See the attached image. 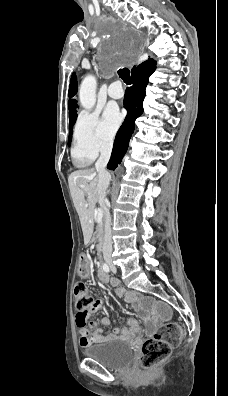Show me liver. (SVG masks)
<instances>
[{
    "label": "liver",
    "mask_w": 228,
    "mask_h": 396,
    "mask_svg": "<svg viewBox=\"0 0 228 396\" xmlns=\"http://www.w3.org/2000/svg\"><path fill=\"white\" fill-rule=\"evenodd\" d=\"M98 172L91 169L77 170L68 177L71 197L79 215L85 241L92 233L94 207L97 202L103 205L98 189Z\"/></svg>",
    "instance_id": "liver-1"
}]
</instances>
